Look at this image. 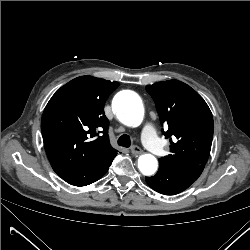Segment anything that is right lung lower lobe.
<instances>
[{
  "label": "right lung lower lobe",
  "mask_w": 250,
  "mask_h": 250,
  "mask_svg": "<svg viewBox=\"0 0 250 250\" xmlns=\"http://www.w3.org/2000/svg\"><path fill=\"white\" fill-rule=\"evenodd\" d=\"M117 153H110L96 162L94 165L83 170L63 172L58 175L67 183L75 186H86L99 180L109 169Z\"/></svg>",
  "instance_id": "98d812e1"
}]
</instances>
